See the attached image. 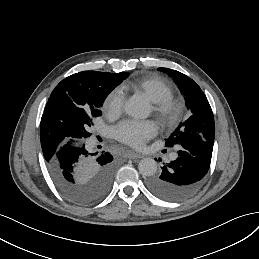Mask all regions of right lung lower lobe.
Returning <instances> with one entry per match:
<instances>
[{"instance_id":"right-lung-lower-lobe-1","label":"right lung lower lobe","mask_w":259,"mask_h":259,"mask_svg":"<svg viewBox=\"0 0 259 259\" xmlns=\"http://www.w3.org/2000/svg\"><path fill=\"white\" fill-rule=\"evenodd\" d=\"M47 168L58 190L81 205L101 200L110 190L115 174L113 156L105 151L90 153L83 141L63 144L47 162Z\"/></svg>"}]
</instances>
